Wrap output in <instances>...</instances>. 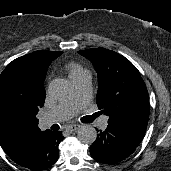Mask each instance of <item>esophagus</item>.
<instances>
[{
  "label": "esophagus",
  "instance_id": "obj_1",
  "mask_svg": "<svg viewBox=\"0 0 171 171\" xmlns=\"http://www.w3.org/2000/svg\"><path fill=\"white\" fill-rule=\"evenodd\" d=\"M79 128H80V125H78V124H72V125H68L66 127V130L68 132H74V131L78 130Z\"/></svg>",
  "mask_w": 171,
  "mask_h": 171
}]
</instances>
